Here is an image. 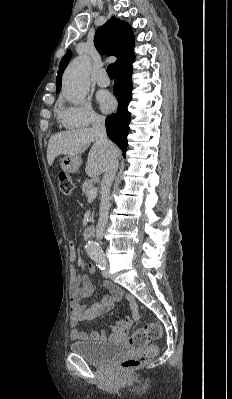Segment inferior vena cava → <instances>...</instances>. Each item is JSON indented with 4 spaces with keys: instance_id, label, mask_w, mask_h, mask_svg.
I'll return each mask as SVG.
<instances>
[{
    "instance_id": "inferior-vena-cava-1",
    "label": "inferior vena cava",
    "mask_w": 232,
    "mask_h": 399,
    "mask_svg": "<svg viewBox=\"0 0 232 399\" xmlns=\"http://www.w3.org/2000/svg\"><path fill=\"white\" fill-rule=\"evenodd\" d=\"M91 122L93 130L95 132V136H97L98 138V142H100V144H103V146H107V148H109L107 152L108 164L106 166L105 174L102 178L101 184L99 219L96 227V235L98 239H101L102 233L108 221V213L110 209L109 194L114 176H116V172L118 170V160L117 154L113 152L112 142H109L107 138L104 116H92Z\"/></svg>"
}]
</instances>
